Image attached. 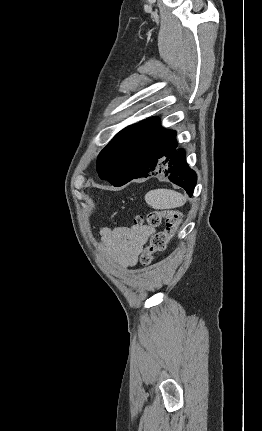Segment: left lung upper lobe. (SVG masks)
Listing matches in <instances>:
<instances>
[{
    "label": "left lung upper lobe",
    "mask_w": 262,
    "mask_h": 431,
    "mask_svg": "<svg viewBox=\"0 0 262 431\" xmlns=\"http://www.w3.org/2000/svg\"><path fill=\"white\" fill-rule=\"evenodd\" d=\"M157 117L147 118L120 132L101 151L97 159V172L101 179L113 186H122L131 175V163L138 150L160 134H165ZM146 148V147H145Z\"/></svg>",
    "instance_id": "5c2ea615"
}]
</instances>
